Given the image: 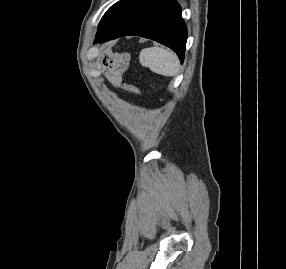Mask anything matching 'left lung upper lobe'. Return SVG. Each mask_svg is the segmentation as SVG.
Instances as JSON below:
<instances>
[{
  "instance_id": "1",
  "label": "left lung upper lobe",
  "mask_w": 286,
  "mask_h": 269,
  "mask_svg": "<svg viewBox=\"0 0 286 269\" xmlns=\"http://www.w3.org/2000/svg\"><path fill=\"white\" fill-rule=\"evenodd\" d=\"M143 0H120L112 5L102 17L98 31L116 25L125 15L136 8Z\"/></svg>"
}]
</instances>
